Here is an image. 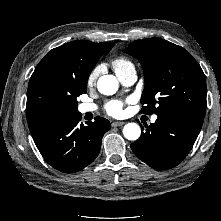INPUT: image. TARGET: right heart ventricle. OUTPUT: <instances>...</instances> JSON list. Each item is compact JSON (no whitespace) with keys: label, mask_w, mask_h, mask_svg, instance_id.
Instances as JSON below:
<instances>
[{"label":"right heart ventricle","mask_w":221,"mask_h":221,"mask_svg":"<svg viewBox=\"0 0 221 221\" xmlns=\"http://www.w3.org/2000/svg\"><path fill=\"white\" fill-rule=\"evenodd\" d=\"M133 65L128 59L119 57L112 61V67L116 74L126 70L129 66Z\"/></svg>","instance_id":"obj_1"}]
</instances>
